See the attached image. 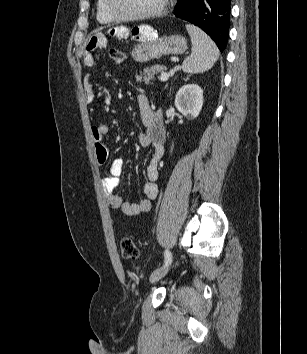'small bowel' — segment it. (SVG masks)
<instances>
[{
    "instance_id": "small-bowel-1",
    "label": "small bowel",
    "mask_w": 307,
    "mask_h": 354,
    "mask_svg": "<svg viewBox=\"0 0 307 354\" xmlns=\"http://www.w3.org/2000/svg\"><path fill=\"white\" fill-rule=\"evenodd\" d=\"M109 35L114 38H133V31H126L123 28H113ZM105 45L102 37L92 38L85 49L83 63L87 67H94L97 63L94 52ZM92 75L85 76L83 89L87 102H92L95 98ZM141 121L144 131L139 134L138 141L142 147H152L154 154L146 167V182L143 186L144 198L138 202L131 203L124 201L117 189L120 184V176L124 167V160L116 158L109 168V175L102 180V186L108 202L112 208L120 209L125 215L133 216L150 211L153 200L158 195L157 179L159 176L158 164L163 155L164 127L158 114L153 110L150 99L147 95L141 94L138 97ZM109 132V126L99 123L92 127V139L95 147V155L99 164H104L108 158V149L103 142L104 137Z\"/></svg>"
}]
</instances>
